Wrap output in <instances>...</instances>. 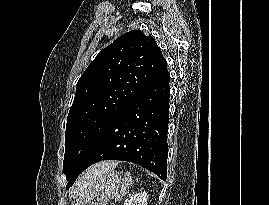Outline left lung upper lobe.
<instances>
[{
  "label": "left lung upper lobe",
  "instance_id": "left-lung-upper-lobe-1",
  "mask_svg": "<svg viewBox=\"0 0 269 205\" xmlns=\"http://www.w3.org/2000/svg\"><path fill=\"white\" fill-rule=\"evenodd\" d=\"M160 48L140 30L103 49L80 77L65 134L63 173L68 184L104 129L166 67Z\"/></svg>",
  "mask_w": 269,
  "mask_h": 205
}]
</instances>
